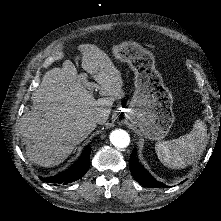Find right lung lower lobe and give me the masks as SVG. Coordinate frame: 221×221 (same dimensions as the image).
<instances>
[{"label":"right lung lower lobe","instance_id":"right-lung-lower-lobe-1","mask_svg":"<svg viewBox=\"0 0 221 221\" xmlns=\"http://www.w3.org/2000/svg\"><path fill=\"white\" fill-rule=\"evenodd\" d=\"M90 153L91 149L89 147H86L80 159L76 163H74L70 168L59 173L56 176L41 179L45 182L63 185H66L73 181H77L78 179L82 178L89 169Z\"/></svg>","mask_w":221,"mask_h":221}]
</instances>
